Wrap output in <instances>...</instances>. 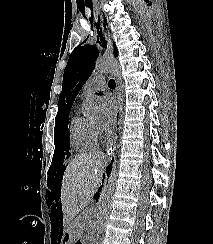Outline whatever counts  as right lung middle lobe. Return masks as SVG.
<instances>
[{
    "label": "right lung middle lobe",
    "instance_id": "obj_1",
    "mask_svg": "<svg viewBox=\"0 0 213 244\" xmlns=\"http://www.w3.org/2000/svg\"><path fill=\"white\" fill-rule=\"evenodd\" d=\"M69 116H67L68 119ZM68 121V120H67ZM63 130L56 128L55 129V138H54V144H55V151H54V155H53V159H52V165L50 166L49 169V178H53L56 177L59 173V171H61L64 168V160L65 158H68L70 156V143H69V137H68V132L66 133V138H67V143L65 144L63 142Z\"/></svg>",
    "mask_w": 213,
    "mask_h": 244
}]
</instances>
